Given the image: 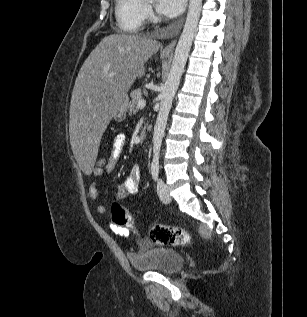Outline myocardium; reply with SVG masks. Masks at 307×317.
Here are the masks:
<instances>
[{
    "label": "myocardium",
    "instance_id": "myocardium-1",
    "mask_svg": "<svg viewBox=\"0 0 307 317\" xmlns=\"http://www.w3.org/2000/svg\"><path fill=\"white\" fill-rule=\"evenodd\" d=\"M145 3L148 5L149 4L148 0H145Z\"/></svg>",
    "mask_w": 307,
    "mask_h": 317
}]
</instances>
